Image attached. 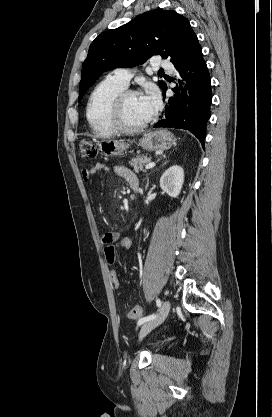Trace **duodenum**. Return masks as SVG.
Returning <instances> with one entry per match:
<instances>
[{"mask_svg": "<svg viewBox=\"0 0 272 417\" xmlns=\"http://www.w3.org/2000/svg\"><path fill=\"white\" fill-rule=\"evenodd\" d=\"M130 187L134 193H137L139 190V182H132Z\"/></svg>", "mask_w": 272, "mask_h": 417, "instance_id": "1", "label": "duodenum"}]
</instances>
